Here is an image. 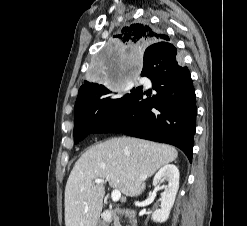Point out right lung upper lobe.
<instances>
[{
    "mask_svg": "<svg viewBox=\"0 0 247 226\" xmlns=\"http://www.w3.org/2000/svg\"><path fill=\"white\" fill-rule=\"evenodd\" d=\"M113 38H117L123 46L138 44V45H152L156 43H166L170 38L157 31L153 27L147 24H131L123 27L121 33L114 35ZM85 83L80 87L77 100L91 94L98 88L97 83L84 81ZM76 100V101H77Z\"/></svg>",
    "mask_w": 247,
    "mask_h": 226,
    "instance_id": "cb5924a9",
    "label": "right lung upper lobe"
}]
</instances>
